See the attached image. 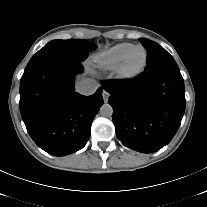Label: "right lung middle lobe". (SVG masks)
<instances>
[{"mask_svg": "<svg viewBox=\"0 0 207 207\" xmlns=\"http://www.w3.org/2000/svg\"><path fill=\"white\" fill-rule=\"evenodd\" d=\"M96 48V45L87 40H53L35 53L27 66L38 63L47 58L60 56L83 61L88 57V53Z\"/></svg>", "mask_w": 207, "mask_h": 207, "instance_id": "right-lung-middle-lobe-1", "label": "right lung middle lobe"}]
</instances>
